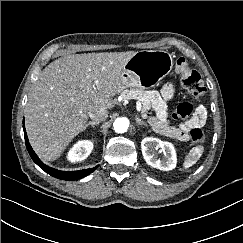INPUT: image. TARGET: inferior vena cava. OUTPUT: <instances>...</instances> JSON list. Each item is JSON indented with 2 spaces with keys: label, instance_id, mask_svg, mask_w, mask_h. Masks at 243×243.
<instances>
[{
  "label": "inferior vena cava",
  "instance_id": "inferior-vena-cava-1",
  "mask_svg": "<svg viewBox=\"0 0 243 243\" xmlns=\"http://www.w3.org/2000/svg\"><path fill=\"white\" fill-rule=\"evenodd\" d=\"M89 117L96 122L103 121L108 117V110L104 107L95 108L89 112Z\"/></svg>",
  "mask_w": 243,
  "mask_h": 243
}]
</instances>
